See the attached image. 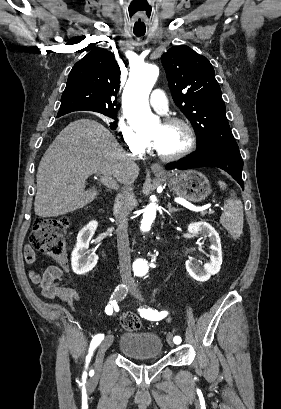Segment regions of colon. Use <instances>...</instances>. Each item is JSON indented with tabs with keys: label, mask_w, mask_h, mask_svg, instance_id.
<instances>
[{
	"label": "colon",
	"mask_w": 281,
	"mask_h": 409,
	"mask_svg": "<svg viewBox=\"0 0 281 409\" xmlns=\"http://www.w3.org/2000/svg\"><path fill=\"white\" fill-rule=\"evenodd\" d=\"M70 223L65 216L37 218L29 238L30 246L26 249H40V253L52 258L57 264L64 265L68 256L64 233ZM120 324L125 329L137 331L141 327V320L138 315L127 312L121 316Z\"/></svg>",
	"instance_id": "5ec220e1"
}]
</instances>
